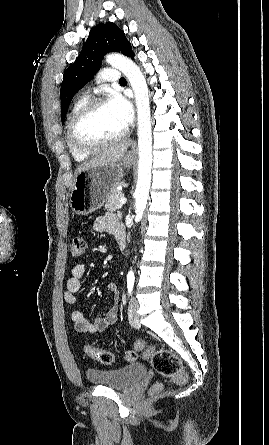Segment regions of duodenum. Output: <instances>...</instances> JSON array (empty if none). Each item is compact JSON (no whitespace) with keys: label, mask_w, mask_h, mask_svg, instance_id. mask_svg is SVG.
Instances as JSON below:
<instances>
[{"label":"duodenum","mask_w":269,"mask_h":445,"mask_svg":"<svg viewBox=\"0 0 269 445\" xmlns=\"http://www.w3.org/2000/svg\"><path fill=\"white\" fill-rule=\"evenodd\" d=\"M117 241H118V245L119 248L121 250H123L126 246V237H125V232L124 231H120L117 235H116Z\"/></svg>","instance_id":"duodenum-1"}]
</instances>
